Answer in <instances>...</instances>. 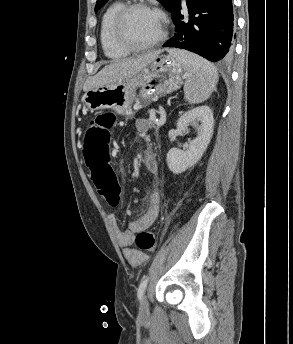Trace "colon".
Returning a JSON list of instances; mask_svg holds the SVG:
<instances>
[{"instance_id":"colon-1","label":"colon","mask_w":293,"mask_h":344,"mask_svg":"<svg viewBox=\"0 0 293 344\" xmlns=\"http://www.w3.org/2000/svg\"><path fill=\"white\" fill-rule=\"evenodd\" d=\"M116 117L111 112L95 115L88 122L83 156L91 171L92 180L107 203L115 207L120 199V186L111 168L110 144ZM156 237L151 231H140L135 238L138 251L150 253L155 250Z\"/></svg>"}]
</instances>
